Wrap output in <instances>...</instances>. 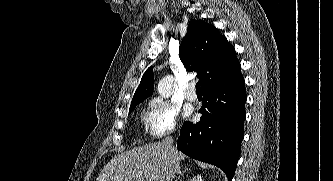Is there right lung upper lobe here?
Here are the masks:
<instances>
[{
  "label": "right lung upper lobe",
  "instance_id": "cb5924a9",
  "mask_svg": "<svg viewBox=\"0 0 333 181\" xmlns=\"http://www.w3.org/2000/svg\"><path fill=\"white\" fill-rule=\"evenodd\" d=\"M180 59L188 71H197L202 90L231 78L241 71L234 48L225 36L203 20H192L179 47ZM153 93V68L149 67L135 91L131 106ZM130 106V107H131Z\"/></svg>",
  "mask_w": 333,
  "mask_h": 181
}]
</instances>
